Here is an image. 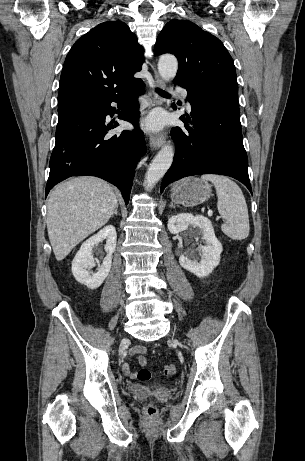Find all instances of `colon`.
Returning a JSON list of instances; mask_svg holds the SVG:
<instances>
[{
  "label": "colon",
  "mask_w": 305,
  "mask_h": 461,
  "mask_svg": "<svg viewBox=\"0 0 305 461\" xmlns=\"http://www.w3.org/2000/svg\"><path fill=\"white\" fill-rule=\"evenodd\" d=\"M163 372L166 376H173L176 374L177 369L175 365L167 364L164 366ZM151 377H152L151 371L148 370L147 368H142L137 373V378L141 382H147L151 379ZM144 411H145V414L149 417H153L156 414V408L154 405H151V404L147 405L144 408Z\"/></svg>",
  "instance_id": "5ec220e1"
}]
</instances>
